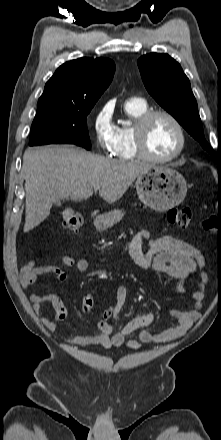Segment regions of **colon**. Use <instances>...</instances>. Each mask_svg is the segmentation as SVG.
I'll return each instance as SVG.
<instances>
[{"instance_id": "colon-1", "label": "colon", "mask_w": 221, "mask_h": 440, "mask_svg": "<svg viewBox=\"0 0 221 440\" xmlns=\"http://www.w3.org/2000/svg\"><path fill=\"white\" fill-rule=\"evenodd\" d=\"M192 218V212L191 209L187 207H175L171 208L167 212V221L175 225L179 228H186ZM83 224V218L79 214L78 211L72 208H66L63 211V225L66 229L69 230H77L79 229ZM214 221L212 219L205 220L203 222V228L206 230H209L213 227ZM94 301L91 296H85L82 300V310L84 312H90L93 309ZM100 317L105 319H110L113 317V310L112 309H101L100 310Z\"/></svg>"}]
</instances>
